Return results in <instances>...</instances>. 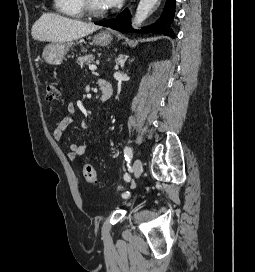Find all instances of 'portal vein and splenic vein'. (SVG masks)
<instances>
[{"label":"portal vein and splenic vein","mask_w":255,"mask_h":272,"mask_svg":"<svg viewBox=\"0 0 255 272\" xmlns=\"http://www.w3.org/2000/svg\"><path fill=\"white\" fill-rule=\"evenodd\" d=\"M97 69L96 65H89V70L95 71Z\"/></svg>","instance_id":"obj_1"}]
</instances>
